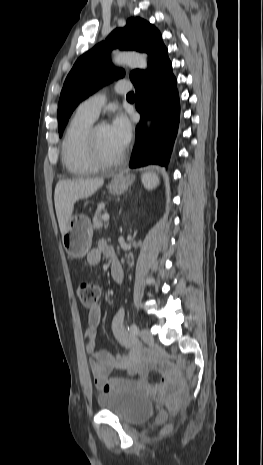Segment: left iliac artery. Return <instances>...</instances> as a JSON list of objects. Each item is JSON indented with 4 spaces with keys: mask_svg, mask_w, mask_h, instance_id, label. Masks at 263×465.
I'll return each instance as SVG.
<instances>
[{
    "mask_svg": "<svg viewBox=\"0 0 263 465\" xmlns=\"http://www.w3.org/2000/svg\"><path fill=\"white\" fill-rule=\"evenodd\" d=\"M129 330H130V333H131L133 336H138V334H139V328H138V326H137L136 324H134V323L131 324Z\"/></svg>",
    "mask_w": 263,
    "mask_h": 465,
    "instance_id": "44dca946",
    "label": "left iliac artery"
}]
</instances>
